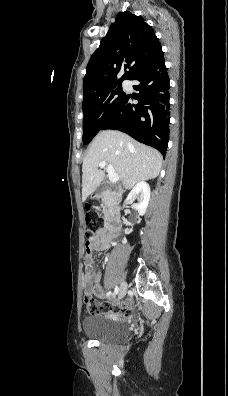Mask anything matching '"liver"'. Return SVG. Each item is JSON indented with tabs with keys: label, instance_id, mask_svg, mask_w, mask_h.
I'll return each instance as SVG.
<instances>
[{
	"label": "liver",
	"instance_id": "6515ba94",
	"mask_svg": "<svg viewBox=\"0 0 228 396\" xmlns=\"http://www.w3.org/2000/svg\"><path fill=\"white\" fill-rule=\"evenodd\" d=\"M162 155L156 149L137 142L127 134L105 130L93 139L82 165V200L92 194L105 177L99 162L112 165L126 189L136 183L154 179L162 166Z\"/></svg>",
	"mask_w": 228,
	"mask_h": 396
}]
</instances>
